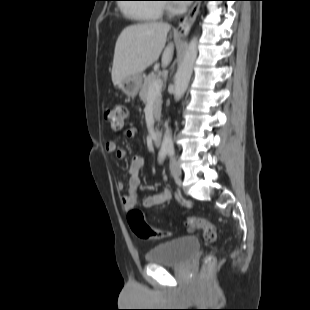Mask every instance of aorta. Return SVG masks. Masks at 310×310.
<instances>
[{
  "label": "aorta",
  "instance_id": "aorta-1",
  "mask_svg": "<svg viewBox=\"0 0 310 310\" xmlns=\"http://www.w3.org/2000/svg\"><path fill=\"white\" fill-rule=\"evenodd\" d=\"M197 58V38L194 37L185 52L182 63L177 69L174 81V97L179 100L187 90L195 60ZM173 148L172 135L170 131H166L163 137L161 149L169 150Z\"/></svg>",
  "mask_w": 310,
  "mask_h": 310
}]
</instances>
